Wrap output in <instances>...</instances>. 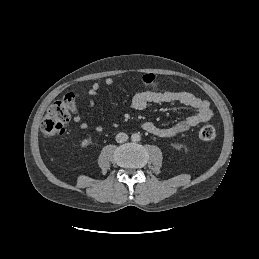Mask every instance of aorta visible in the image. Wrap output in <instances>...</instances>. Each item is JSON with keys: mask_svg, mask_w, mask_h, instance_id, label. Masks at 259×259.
<instances>
[{"mask_svg": "<svg viewBox=\"0 0 259 259\" xmlns=\"http://www.w3.org/2000/svg\"><path fill=\"white\" fill-rule=\"evenodd\" d=\"M131 139H132V141H134V142H138V141L141 140V136H140V134H138V133H134V134H132Z\"/></svg>", "mask_w": 259, "mask_h": 259, "instance_id": "762f6f07", "label": "aorta"}]
</instances>
